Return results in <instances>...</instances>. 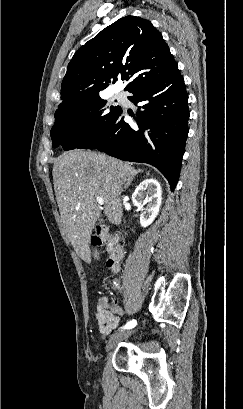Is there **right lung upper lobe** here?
Segmentation results:
<instances>
[{
	"instance_id": "right-lung-upper-lobe-1",
	"label": "right lung upper lobe",
	"mask_w": 243,
	"mask_h": 409,
	"mask_svg": "<svg viewBox=\"0 0 243 409\" xmlns=\"http://www.w3.org/2000/svg\"><path fill=\"white\" fill-rule=\"evenodd\" d=\"M178 67L161 33L150 21L126 16L77 50L61 85L59 108L99 97L117 81L125 90L167 75ZM58 108V109H59Z\"/></svg>"
}]
</instances>
